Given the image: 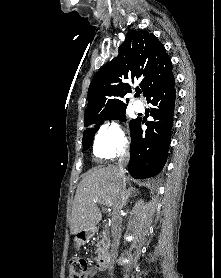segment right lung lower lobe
<instances>
[{
    "mask_svg": "<svg viewBox=\"0 0 221 278\" xmlns=\"http://www.w3.org/2000/svg\"><path fill=\"white\" fill-rule=\"evenodd\" d=\"M174 86L175 79L171 72L145 94L147 102L153 105L150 115L154 119L146 123V132L141 129L140 119L130 126L132 141L128 169L136 179L157 175L166 162L175 108Z\"/></svg>",
    "mask_w": 221,
    "mask_h": 278,
    "instance_id": "right-lung-lower-lobe-1",
    "label": "right lung lower lobe"
}]
</instances>
